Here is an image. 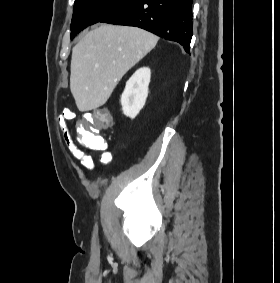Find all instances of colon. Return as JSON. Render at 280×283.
Segmentation results:
<instances>
[{"label":"colon","mask_w":280,"mask_h":283,"mask_svg":"<svg viewBox=\"0 0 280 283\" xmlns=\"http://www.w3.org/2000/svg\"><path fill=\"white\" fill-rule=\"evenodd\" d=\"M65 112L72 113L70 109ZM81 119H93L98 127H88L85 121H79L76 125L77 139L85 147L92 150H101L105 147V139L97 132H107V127H114L111 110H85Z\"/></svg>","instance_id":"5ec220e1"}]
</instances>
